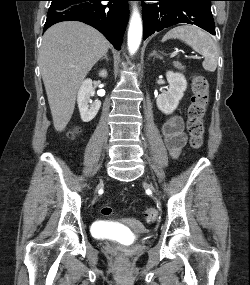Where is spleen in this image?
<instances>
[{
  "label": "spleen",
  "instance_id": "1",
  "mask_svg": "<svg viewBox=\"0 0 250 285\" xmlns=\"http://www.w3.org/2000/svg\"><path fill=\"white\" fill-rule=\"evenodd\" d=\"M169 39H179L189 45L193 50L204 56L203 68L214 72L217 68L218 49L211 36L195 26H178L168 31L162 42Z\"/></svg>",
  "mask_w": 250,
  "mask_h": 285
}]
</instances>
